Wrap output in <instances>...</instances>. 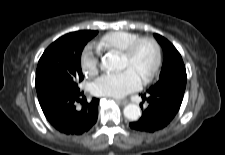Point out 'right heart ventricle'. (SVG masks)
Returning a JSON list of instances; mask_svg holds the SVG:
<instances>
[{"mask_svg":"<svg viewBox=\"0 0 225 155\" xmlns=\"http://www.w3.org/2000/svg\"><path fill=\"white\" fill-rule=\"evenodd\" d=\"M139 35L134 32L118 30L103 35L97 42L96 48L101 52H122Z\"/></svg>","mask_w":225,"mask_h":155,"instance_id":"obj_1","label":"right heart ventricle"}]
</instances>
